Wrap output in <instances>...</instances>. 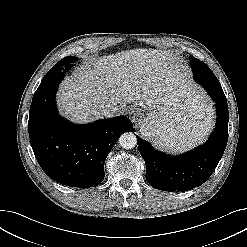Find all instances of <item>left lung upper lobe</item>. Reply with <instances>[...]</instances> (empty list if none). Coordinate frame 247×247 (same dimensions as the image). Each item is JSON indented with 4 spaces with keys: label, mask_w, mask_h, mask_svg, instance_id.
<instances>
[{
    "label": "left lung upper lobe",
    "mask_w": 247,
    "mask_h": 247,
    "mask_svg": "<svg viewBox=\"0 0 247 247\" xmlns=\"http://www.w3.org/2000/svg\"><path fill=\"white\" fill-rule=\"evenodd\" d=\"M191 66L193 67L196 63L200 62L197 58H194L193 56L189 57Z\"/></svg>",
    "instance_id": "1"
}]
</instances>
